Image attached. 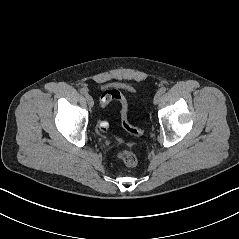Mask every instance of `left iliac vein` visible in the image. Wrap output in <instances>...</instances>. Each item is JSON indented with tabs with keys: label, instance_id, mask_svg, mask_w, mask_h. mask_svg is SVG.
Segmentation results:
<instances>
[{
	"label": "left iliac vein",
	"instance_id": "obj_1",
	"mask_svg": "<svg viewBox=\"0 0 239 239\" xmlns=\"http://www.w3.org/2000/svg\"><path fill=\"white\" fill-rule=\"evenodd\" d=\"M161 99V94L159 92H157L154 96V104H158V102L160 101Z\"/></svg>",
	"mask_w": 239,
	"mask_h": 239
}]
</instances>
